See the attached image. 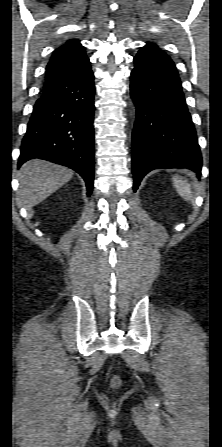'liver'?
I'll list each match as a JSON object with an SVG mask.
<instances>
[{"instance_id":"1","label":"liver","mask_w":222,"mask_h":447,"mask_svg":"<svg viewBox=\"0 0 222 447\" xmlns=\"http://www.w3.org/2000/svg\"><path fill=\"white\" fill-rule=\"evenodd\" d=\"M73 176L67 167L40 159L26 162L18 173V195L23 205L30 209L61 188Z\"/></svg>"}]
</instances>
